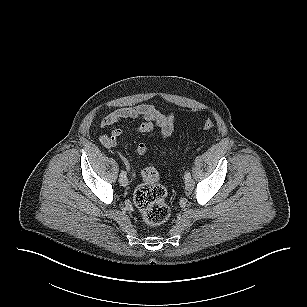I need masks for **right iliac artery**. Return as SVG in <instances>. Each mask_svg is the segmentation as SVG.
<instances>
[{"instance_id":"obj_1","label":"right iliac artery","mask_w":307,"mask_h":307,"mask_svg":"<svg viewBox=\"0 0 307 307\" xmlns=\"http://www.w3.org/2000/svg\"><path fill=\"white\" fill-rule=\"evenodd\" d=\"M123 176H126V172H125V171H122V172L120 173V177H123Z\"/></svg>"}]
</instances>
